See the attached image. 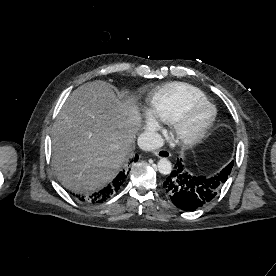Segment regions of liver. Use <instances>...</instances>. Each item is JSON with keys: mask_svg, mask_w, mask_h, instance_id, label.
<instances>
[{"mask_svg": "<svg viewBox=\"0 0 276 276\" xmlns=\"http://www.w3.org/2000/svg\"><path fill=\"white\" fill-rule=\"evenodd\" d=\"M141 120L136 99L121 100L105 81L74 90L52 130V163L62 185L82 194L109 183L131 154Z\"/></svg>", "mask_w": 276, "mask_h": 276, "instance_id": "1", "label": "liver"}]
</instances>
